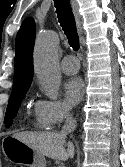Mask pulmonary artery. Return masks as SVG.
<instances>
[{"mask_svg":"<svg viewBox=\"0 0 125 167\" xmlns=\"http://www.w3.org/2000/svg\"><path fill=\"white\" fill-rule=\"evenodd\" d=\"M60 68L65 74L74 75L79 71V61L74 55H66L60 61Z\"/></svg>","mask_w":125,"mask_h":167,"instance_id":"e3ab8cb5","label":"pulmonary artery"}]
</instances>
